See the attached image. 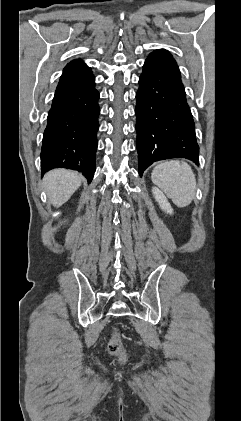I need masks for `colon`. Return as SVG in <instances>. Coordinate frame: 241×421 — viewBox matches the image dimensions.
Listing matches in <instances>:
<instances>
[{"label": "colon", "instance_id": "1", "mask_svg": "<svg viewBox=\"0 0 241 421\" xmlns=\"http://www.w3.org/2000/svg\"><path fill=\"white\" fill-rule=\"evenodd\" d=\"M108 352L111 355L118 357L119 359L125 358V350L121 342V337L118 329H115L113 331L111 339L108 343Z\"/></svg>", "mask_w": 241, "mask_h": 421}]
</instances>
